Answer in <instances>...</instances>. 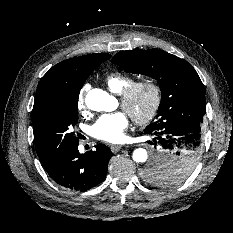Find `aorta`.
I'll return each mask as SVG.
<instances>
[{"label": "aorta", "mask_w": 233, "mask_h": 233, "mask_svg": "<svg viewBox=\"0 0 233 233\" xmlns=\"http://www.w3.org/2000/svg\"><path fill=\"white\" fill-rule=\"evenodd\" d=\"M87 107L93 111H113L117 108V100L107 92L101 89L90 90L85 98ZM168 154H161V161H166ZM133 160L138 163H144L147 161L148 153L143 148L135 149L133 152Z\"/></svg>", "instance_id": "aorta-1"}]
</instances>
